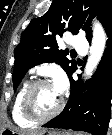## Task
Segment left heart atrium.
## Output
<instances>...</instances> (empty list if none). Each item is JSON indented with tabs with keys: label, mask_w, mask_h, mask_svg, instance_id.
I'll use <instances>...</instances> for the list:
<instances>
[{
	"label": "left heart atrium",
	"mask_w": 112,
	"mask_h": 135,
	"mask_svg": "<svg viewBox=\"0 0 112 135\" xmlns=\"http://www.w3.org/2000/svg\"><path fill=\"white\" fill-rule=\"evenodd\" d=\"M54 88L60 94L66 87V80L63 74H57L54 78Z\"/></svg>",
	"instance_id": "left-heart-atrium-1"
}]
</instances>
